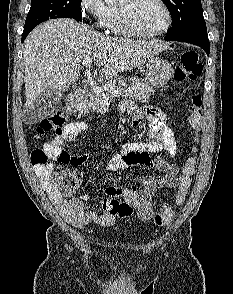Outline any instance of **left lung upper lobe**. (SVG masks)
Masks as SVG:
<instances>
[{
	"label": "left lung upper lobe",
	"instance_id": "obj_1",
	"mask_svg": "<svg viewBox=\"0 0 233 294\" xmlns=\"http://www.w3.org/2000/svg\"><path fill=\"white\" fill-rule=\"evenodd\" d=\"M172 17V29L167 35L174 36L184 32H207L201 0H162Z\"/></svg>",
	"mask_w": 233,
	"mask_h": 294
}]
</instances>
